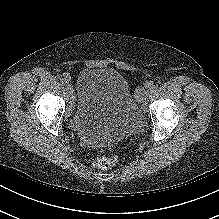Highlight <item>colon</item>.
Returning a JSON list of instances; mask_svg holds the SVG:
<instances>
[{"label": "colon", "mask_w": 219, "mask_h": 219, "mask_svg": "<svg viewBox=\"0 0 219 219\" xmlns=\"http://www.w3.org/2000/svg\"><path fill=\"white\" fill-rule=\"evenodd\" d=\"M118 162V157L116 155L112 156H101L95 160V167L100 170H108L114 167Z\"/></svg>", "instance_id": "5ec220e1"}]
</instances>
